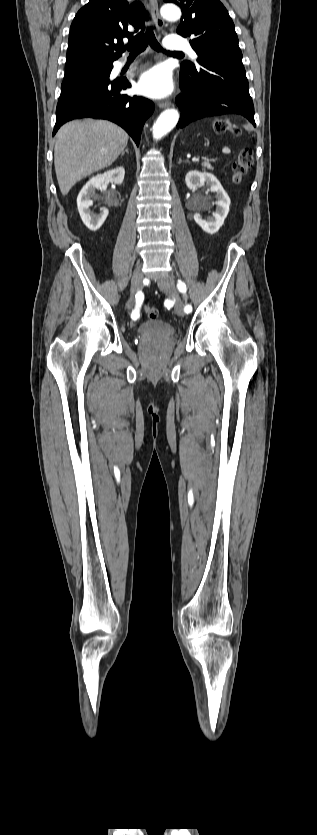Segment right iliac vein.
Here are the masks:
<instances>
[{
  "label": "right iliac vein",
  "mask_w": 317,
  "mask_h": 835,
  "mask_svg": "<svg viewBox=\"0 0 317 835\" xmlns=\"http://www.w3.org/2000/svg\"><path fill=\"white\" fill-rule=\"evenodd\" d=\"M142 280H143V274H142V271H141L140 267H138V268H136V269H135V271H134V273H133V276H132V280H131V297H130V299H129V300H128V302H127V308H128V309H129V308L132 306V304H133V301H134V296H135V295H136V294H137V293L141 290V288H142ZM129 304H130V306H129Z\"/></svg>",
  "instance_id": "obj_1"
}]
</instances>
